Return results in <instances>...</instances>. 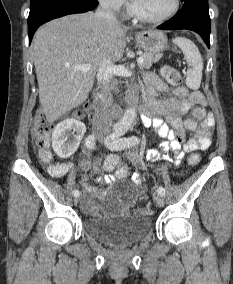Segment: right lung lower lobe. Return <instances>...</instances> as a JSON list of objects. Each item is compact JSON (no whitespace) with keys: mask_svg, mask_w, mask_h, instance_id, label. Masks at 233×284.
Here are the masks:
<instances>
[{"mask_svg":"<svg viewBox=\"0 0 233 284\" xmlns=\"http://www.w3.org/2000/svg\"><path fill=\"white\" fill-rule=\"evenodd\" d=\"M97 5V0H53L31 6L28 17L29 43L37 28L45 22L69 14L87 12Z\"/></svg>","mask_w":233,"mask_h":284,"instance_id":"98d812e1","label":"right lung lower lobe"}]
</instances>
